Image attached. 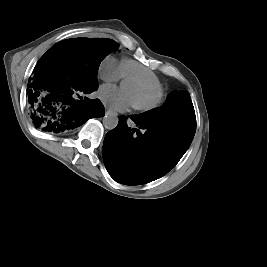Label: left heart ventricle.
<instances>
[{"mask_svg": "<svg viewBox=\"0 0 267 267\" xmlns=\"http://www.w3.org/2000/svg\"><path fill=\"white\" fill-rule=\"evenodd\" d=\"M125 88L130 92L134 103L143 104L154 97V92L142 84L128 81L125 84Z\"/></svg>", "mask_w": 267, "mask_h": 267, "instance_id": "obj_1", "label": "left heart ventricle"}]
</instances>
